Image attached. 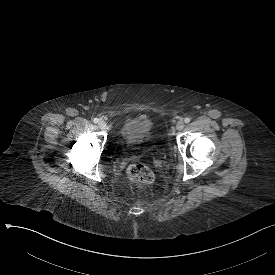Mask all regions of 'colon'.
Here are the masks:
<instances>
[{"label": "colon", "instance_id": "colon-1", "mask_svg": "<svg viewBox=\"0 0 275 275\" xmlns=\"http://www.w3.org/2000/svg\"><path fill=\"white\" fill-rule=\"evenodd\" d=\"M127 176L131 181L137 182L142 186H150L153 183L154 175L152 171L138 164H131L127 170Z\"/></svg>", "mask_w": 275, "mask_h": 275}]
</instances>
